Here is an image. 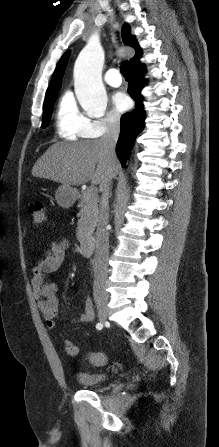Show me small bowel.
<instances>
[{"instance_id": "small-bowel-1", "label": "small bowel", "mask_w": 219, "mask_h": 447, "mask_svg": "<svg viewBox=\"0 0 219 447\" xmlns=\"http://www.w3.org/2000/svg\"><path fill=\"white\" fill-rule=\"evenodd\" d=\"M69 248V242L65 238H58L51 242L45 254L36 259L32 269L31 286L38 307L43 315L48 328L57 327L56 318L61 314L57 299V284L51 280L54 274L62 265L65 254ZM95 318L92 301L87 298L84 302V310L77 315L73 322L90 323Z\"/></svg>"}]
</instances>
